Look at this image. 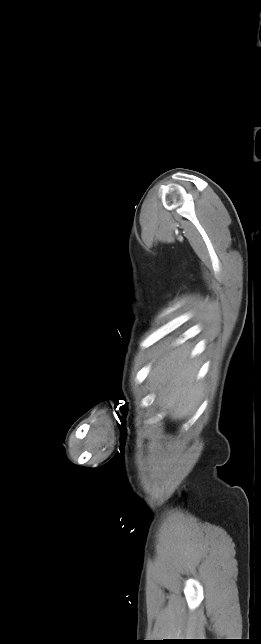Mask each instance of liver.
<instances>
[{"mask_svg":"<svg viewBox=\"0 0 261 644\" xmlns=\"http://www.w3.org/2000/svg\"><path fill=\"white\" fill-rule=\"evenodd\" d=\"M149 374L150 388L156 401L173 419H184L193 414L203 394L198 381L199 365L191 356L190 346L160 345L152 356Z\"/></svg>","mask_w":261,"mask_h":644,"instance_id":"obj_1","label":"liver"}]
</instances>
